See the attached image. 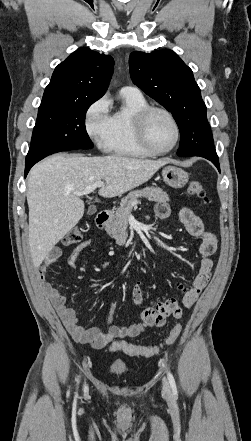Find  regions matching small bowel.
Returning <instances> with one entry per match:
<instances>
[{"label": "small bowel", "instance_id": "small-bowel-1", "mask_svg": "<svg viewBox=\"0 0 251 441\" xmlns=\"http://www.w3.org/2000/svg\"><path fill=\"white\" fill-rule=\"evenodd\" d=\"M155 214L160 219L167 218L170 214L169 206L164 202L157 203L155 206ZM179 219L191 236L202 239L198 247L201 259L198 264L196 276L188 288L178 284V289L183 293L182 305H180L175 298L152 302L150 306L141 308L139 312L140 322L129 326H117L112 324L116 305L115 303H111L106 319L108 325L106 332L98 327L86 328L79 325L75 310L67 305L66 296L52 284L45 281L44 273L46 267L53 264L61 255V250L58 247L53 248L49 252L45 260L38 267L37 277L39 281H41L45 293L58 312L64 326L76 342L90 345L95 349H101L114 340L119 341L126 337H136L142 334L147 328L162 327L166 324V320L169 316L181 318L183 316V308H190L197 301L199 295L211 278L213 261L210 256L216 251L217 239L214 234L205 230L201 219L195 215L190 208H181L179 211ZM90 244L91 241L86 240L73 249L67 260L71 268L76 267L80 253L90 246ZM109 264V262H105L102 265V269H106ZM132 299L138 306H142L144 294L141 282H136L133 285Z\"/></svg>", "mask_w": 251, "mask_h": 441}]
</instances>
